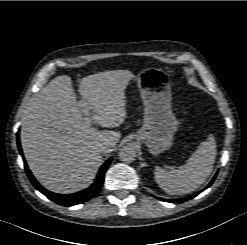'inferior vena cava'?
<instances>
[{"mask_svg":"<svg viewBox=\"0 0 247 245\" xmlns=\"http://www.w3.org/2000/svg\"><path fill=\"white\" fill-rule=\"evenodd\" d=\"M113 143L111 142H103L100 144L99 149L101 152H110L112 151Z\"/></svg>","mask_w":247,"mask_h":245,"instance_id":"obj_1","label":"inferior vena cava"}]
</instances>
